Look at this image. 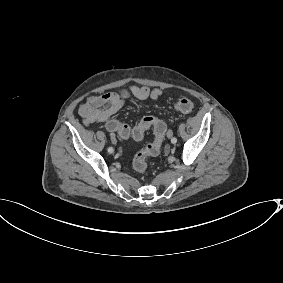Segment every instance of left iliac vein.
I'll return each mask as SVG.
<instances>
[{
	"label": "left iliac vein",
	"mask_w": 283,
	"mask_h": 283,
	"mask_svg": "<svg viewBox=\"0 0 283 283\" xmlns=\"http://www.w3.org/2000/svg\"><path fill=\"white\" fill-rule=\"evenodd\" d=\"M172 135H173L172 130H168V132H167V137H168V138H171V137H172Z\"/></svg>",
	"instance_id": "left-iliac-vein-1"
}]
</instances>
